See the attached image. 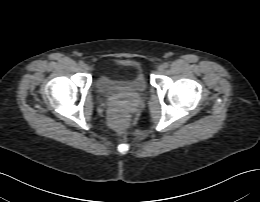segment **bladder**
<instances>
[{
    "instance_id": "31cf9c89",
    "label": "bladder",
    "mask_w": 260,
    "mask_h": 202,
    "mask_svg": "<svg viewBox=\"0 0 260 202\" xmlns=\"http://www.w3.org/2000/svg\"><path fill=\"white\" fill-rule=\"evenodd\" d=\"M95 84L101 93L124 92L141 96L147 91V81L140 67L135 75L128 78H116L106 72L101 73Z\"/></svg>"
}]
</instances>
